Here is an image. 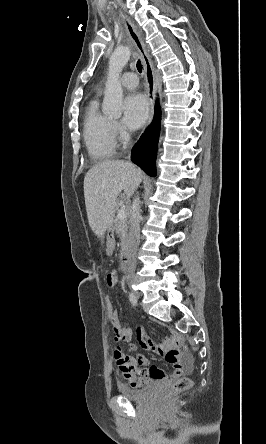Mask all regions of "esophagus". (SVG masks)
I'll return each instance as SVG.
<instances>
[{
    "label": "esophagus",
    "mask_w": 266,
    "mask_h": 444,
    "mask_svg": "<svg viewBox=\"0 0 266 444\" xmlns=\"http://www.w3.org/2000/svg\"><path fill=\"white\" fill-rule=\"evenodd\" d=\"M121 18L124 22V25L126 27L129 37L131 38V40L135 44V46L138 49V51L141 55V58L143 60L145 78H146V83H147V96H148L149 105H150V114H149V121H148V123H150L153 118V115H154L155 100H156V83H155L153 66H152L150 57L147 53L145 44H144L140 34L138 33L135 25L128 18V16L122 12H121Z\"/></svg>",
    "instance_id": "esophagus-1"
}]
</instances>
